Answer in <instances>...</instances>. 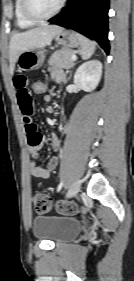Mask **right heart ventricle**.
I'll list each match as a JSON object with an SVG mask.
<instances>
[{"label": "right heart ventricle", "instance_id": "e07e8e85", "mask_svg": "<svg viewBox=\"0 0 134 281\" xmlns=\"http://www.w3.org/2000/svg\"><path fill=\"white\" fill-rule=\"evenodd\" d=\"M14 15L16 25L21 29H27L36 24L35 21L26 17L22 10V0H14Z\"/></svg>", "mask_w": 134, "mask_h": 281}]
</instances>
